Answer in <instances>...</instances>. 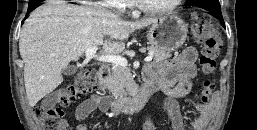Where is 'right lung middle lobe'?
Segmentation results:
<instances>
[{
  "label": "right lung middle lobe",
  "instance_id": "dd1d6c3e",
  "mask_svg": "<svg viewBox=\"0 0 257 130\" xmlns=\"http://www.w3.org/2000/svg\"><path fill=\"white\" fill-rule=\"evenodd\" d=\"M41 3V1H38V0H31L28 4V7H32V8H37L38 7V4Z\"/></svg>",
  "mask_w": 257,
  "mask_h": 130
}]
</instances>
